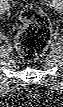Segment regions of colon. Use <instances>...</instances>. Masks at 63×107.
I'll use <instances>...</instances> for the list:
<instances>
[{
    "mask_svg": "<svg viewBox=\"0 0 63 107\" xmlns=\"http://www.w3.org/2000/svg\"><path fill=\"white\" fill-rule=\"evenodd\" d=\"M21 27L16 34V47L27 60H35L45 52L51 29L48 17L35 4L27 5L21 13Z\"/></svg>",
    "mask_w": 63,
    "mask_h": 107,
    "instance_id": "1",
    "label": "colon"
}]
</instances>
